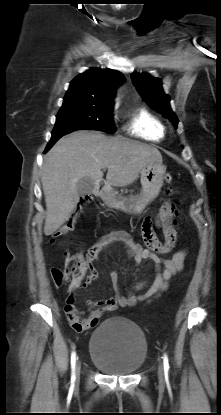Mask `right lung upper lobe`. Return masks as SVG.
<instances>
[{
  "label": "right lung upper lobe",
  "instance_id": "1",
  "mask_svg": "<svg viewBox=\"0 0 221 415\" xmlns=\"http://www.w3.org/2000/svg\"><path fill=\"white\" fill-rule=\"evenodd\" d=\"M123 81V74L116 70L92 68L72 80L64 99L112 103L115 89Z\"/></svg>",
  "mask_w": 221,
  "mask_h": 415
}]
</instances>
